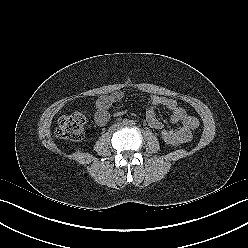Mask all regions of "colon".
Masks as SVG:
<instances>
[{
  "mask_svg": "<svg viewBox=\"0 0 248 248\" xmlns=\"http://www.w3.org/2000/svg\"><path fill=\"white\" fill-rule=\"evenodd\" d=\"M85 115L82 112H74L59 118L56 127V135L61 139L79 141L84 136ZM162 140L172 146L179 145V138L171 130L161 131Z\"/></svg>",
  "mask_w": 248,
  "mask_h": 248,
  "instance_id": "5ec220e1",
  "label": "colon"
}]
</instances>
